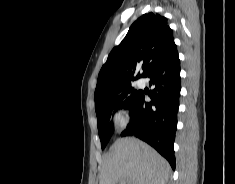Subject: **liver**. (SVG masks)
Masks as SVG:
<instances>
[{
    "instance_id": "6515ba94",
    "label": "liver",
    "mask_w": 235,
    "mask_h": 184,
    "mask_svg": "<svg viewBox=\"0 0 235 184\" xmlns=\"http://www.w3.org/2000/svg\"><path fill=\"white\" fill-rule=\"evenodd\" d=\"M171 168L153 148L136 138H119L102 164L100 184H167Z\"/></svg>"
}]
</instances>
